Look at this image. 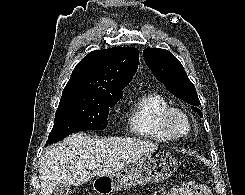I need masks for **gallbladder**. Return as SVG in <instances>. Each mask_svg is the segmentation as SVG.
Listing matches in <instances>:
<instances>
[{
    "instance_id": "1",
    "label": "gallbladder",
    "mask_w": 245,
    "mask_h": 195,
    "mask_svg": "<svg viewBox=\"0 0 245 195\" xmlns=\"http://www.w3.org/2000/svg\"><path fill=\"white\" fill-rule=\"evenodd\" d=\"M69 191L70 185L61 183L55 188L54 195H68Z\"/></svg>"
}]
</instances>
